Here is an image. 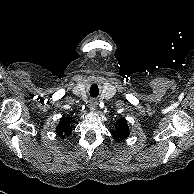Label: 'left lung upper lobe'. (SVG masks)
<instances>
[{"label":"left lung upper lobe","mask_w":194,"mask_h":194,"mask_svg":"<svg viewBox=\"0 0 194 194\" xmlns=\"http://www.w3.org/2000/svg\"><path fill=\"white\" fill-rule=\"evenodd\" d=\"M129 127L125 119L118 120L115 124L113 137L116 141L124 140L129 136Z\"/></svg>","instance_id":"obj_1"}]
</instances>
